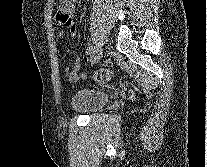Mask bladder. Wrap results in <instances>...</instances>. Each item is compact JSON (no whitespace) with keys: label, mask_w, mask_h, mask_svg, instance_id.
Segmentation results:
<instances>
[{"label":"bladder","mask_w":207,"mask_h":167,"mask_svg":"<svg viewBox=\"0 0 207 167\" xmlns=\"http://www.w3.org/2000/svg\"><path fill=\"white\" fill-rule=\"evenodd\" d=\"M110 101V95L99 89L85 88L73 94L70 100L72 109L80 113L95 112Z\"/></svg>","instance_id":"1"}]
</instances>
